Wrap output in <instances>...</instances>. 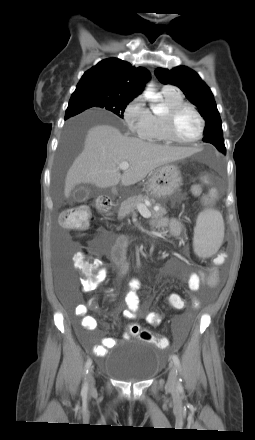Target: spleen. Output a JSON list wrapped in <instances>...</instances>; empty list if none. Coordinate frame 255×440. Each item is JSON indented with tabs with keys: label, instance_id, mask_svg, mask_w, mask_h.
Returning <instances> with one entry per match:
<instances>
[{
	"label": "spleen",
	"instance_id": "1",
	"mask_svg": "<svg viewBox=\"0 0 255 440\" xmlns=\"http://www.w3.org/2000/svg\"><path fill=\"white\" fill-rule=\"evenodd\" d=\"M224 238V221L220 212L205 210L199 213L194 229L193 248L202 258L212 256Z\"/></svg>",
	"mask_w": 255,
	"mask_h": 440
}]
</instances>
